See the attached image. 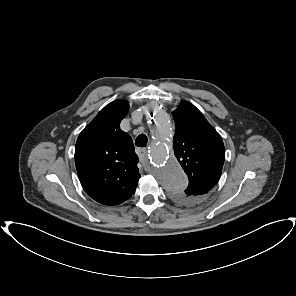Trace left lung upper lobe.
<instances>
[{"mask_svg":"<svg viewBox=\"0 0 296 296\" xmlns=\"http://www.w3.org/2000/svg\"><path fill=\"white\" fill-rule=\"evenodd\" d=\"M176 132L174 154L188 176V187L171 192L182 204L204 200L220 179L225 148L219 133L191 103L182 101L172 112Z\"/></svg>","mask_w":296,"mask_h":296,"instance_id":"1","label":"left lung upper lobe"}]
</instances>
